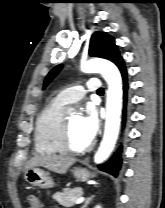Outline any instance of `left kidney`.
Here are the masks:
<instances>
[{
  "instance_id": "1",
  "label": "left kidney",
  "mask_w": 165,
  "mask_h": 208,
  "mask_svg": "<svg viewBox=\"0 0 165 208\" xmlns=\"http://www.w3.org/2000/svg\"><path fill=\"white\" fill-rule=\"evenodd\" d=\"M94 208H102L100 205H96Z\"/></svg>"
}]
</instances>
